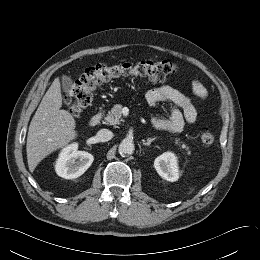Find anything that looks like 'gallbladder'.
Returning a JSON list of instances; mask_svg holds the SVG:
<instances>
[{"instance_id":"gallbladder-1","label":"gallbladder","mask_w":260,"mask_h":260,"mask_svg":"<svg viewBox=\"0 0 260 260\" xmlns=\"http://www.w3.org/2000/svg\"><path fill=\"white\" fill-rule=\"evenodd\" d=\"M72 84H73L72 79L69 76L67 75L62 76V89L65 92V94L70 95Z\"/></svg>"}]
</instances>
